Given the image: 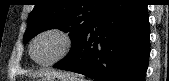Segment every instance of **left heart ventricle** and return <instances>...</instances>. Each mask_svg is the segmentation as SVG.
Wrapping results in <instances>:
<instances>
[{
  "instance_id": "b2bd125f",
  "label": "left heart ventricle",
  "mask_w": 169,
  "mask_h": 81,
  "mask_svg": "<svg viewBox=\"0 0 169 81\" xmlns=\"http://www.w3.org/2000/svg\"><path fill=\"white\" fill-rule=\"evenodd\" d=\"M64 43L56 35L48 34L40 37L34 44V58L41 63H46L55 59L62 51Z\"/></svg>"
}]
</instances>
